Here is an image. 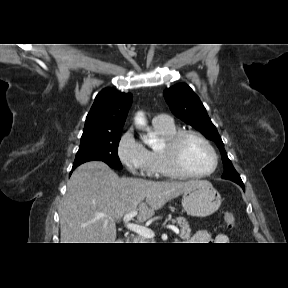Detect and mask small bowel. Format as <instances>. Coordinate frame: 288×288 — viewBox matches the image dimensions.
<instances>
[{
    "label": "small bowel",
    "mask_w": 288,
    "mask_h": 288,
    "mask_svg": "<svg viewBox=\"0 0 288 288\" xmlns=\"http://www.w3.org/2000/svg\"><path fill=\"white\" fill-rule=\"evenodd\" d=\"M192 241L194 243L215 242V243L225 244L229 242V239L227 235L222 234V233H219L215 235L214 237H212L211 234L207 230H199L193 235Z\"/></svg>",
    "instance_id": "small-bowel-1"
}]
</instances>
